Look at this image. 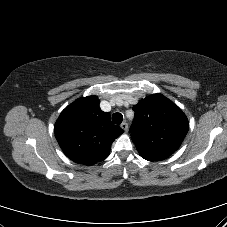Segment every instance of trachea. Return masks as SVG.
I'll list each match as a JSON object with an SVG mask.
<instances>
[{"instance_id":"trachea-1","label":"trachea","mask_w":227,"mask_h":227,"mask_svg":"<svg viewBox=\"0 0 227 227\" xmlns=\"http://www.w3.org/2000/svg\"><path fill=\"white\" fill-rule=\"evenodd\" d=\"M123 120V115L121 113H114L112 115V121L115 124H120Z\"/></svg>"}]
</instances>
